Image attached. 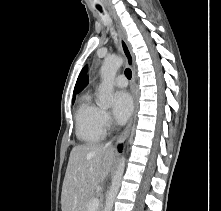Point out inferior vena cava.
<instances>
[{"mask_svg": "<svg viewBox=\"0 0 221 211\" xmlns=\"http://www.w3.org/2000/svg\"><path fill=\"white\" fill-rule=\"evenodd\" d=\"M107 146H111V142H109V143L107 144Z\"/></svg>", "mask_w": 221, "mask_h": 211, "instance_id": "obj_1", "label": "inferior vena cava"}]
</instances>
